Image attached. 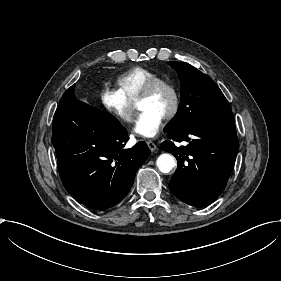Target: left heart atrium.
I'll return each instance as SVG.
<instances>
[{
  "label": "left heart atrium",
  "instance_id": "1",
  "mask_svg": "<svg viewBox=\"0 0 281 281\" xmlns=\"http://www.w3.org/2000/svg\"><path fill=\"white\" fill-rule=\"evenodd\" d=\"M162 123L163 119L160 116L148 110H143L138 116L134 132L139 136L152 138L158 134Z\"/></svg>",
  "mask_w": 281,
  "mask_h": 281
}]
</instances>
